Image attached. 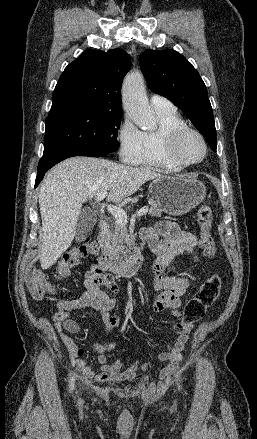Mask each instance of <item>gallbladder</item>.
<instances>
[{"label":"gallbladder","instance_id":"gallbladder-1","mask_svg":"<svg viewBox=\"0 0 257 439\" xmlns=\"http://www.w3.org/2000/svg\"><path fill=\"white\" fill-rule=\"evenodd\" d=\"M96 223V215L90 209H83L80 212L76 228V240H83L92 231Z\"/></svg>","mask_w":257,"mask_h":439}]
</instances>
